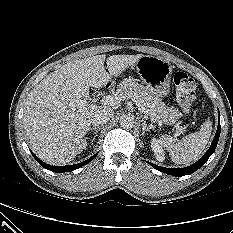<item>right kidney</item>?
<instances>
[{"label":"right kidney","mask_w":233,"mask_h":233,"mask_svg":"<svg viewBox=\"0 0 233 233\" xmlns=\"http://www.w3.org/2000/svg\"><path fill=\"white\" fill-rule=\"evenodd\" d=\"M87 146L86 140H83L81 144L79 145L78 152L81 151L82 149H85Z\"/></svg>","instance_id":"obj_1"}]
</instances>
